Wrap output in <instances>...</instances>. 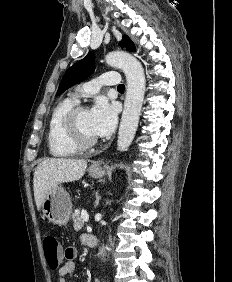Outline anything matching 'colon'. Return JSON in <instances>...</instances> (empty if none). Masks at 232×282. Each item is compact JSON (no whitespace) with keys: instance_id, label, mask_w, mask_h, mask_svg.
<instances>
[{"instance_id":"1","label":"colon","mask_w":232,"mask_h":282,"mask_svg":"<svg viewBox=\"0 0 232 282\" xmlns=\"http://www.w3.org/2000/svg\"><path fill=\"white\" fill-rule=\"evenodd\" d=\"M43 249L48 267L51 270H56L67 254V250L65 249L63 252L57 238L50 234L43 238Z\"/></svg>"}]
</instances>
